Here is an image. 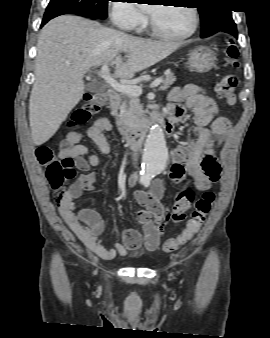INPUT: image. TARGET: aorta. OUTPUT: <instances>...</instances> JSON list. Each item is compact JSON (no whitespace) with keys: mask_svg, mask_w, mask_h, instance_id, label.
<instances>
[{"mask_svg":"<svg viewBox=\"0 0 270 338\" xmlns=\"http://www.w3.org/2000/svg\"><path fill=\"white\" fill-rule=\"evenodd\" d=\"M168 152L162 128L154 125L147 136L143 154V179H151L167 167Z\"/></svg>","mask_w":270,"mask_h":338,"instance_id":"obj_1","label":"aorta"}]
</instances>
